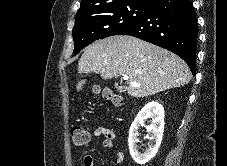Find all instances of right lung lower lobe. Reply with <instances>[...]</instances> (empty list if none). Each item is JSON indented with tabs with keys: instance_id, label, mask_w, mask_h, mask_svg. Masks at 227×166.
I'll list each match as a JSON object with an SVG mask.
<instances>
[{
	"instance_id": "1",
	"label": "right lung lower lobe",
	"mask_w": 227,
	"mask_h": 166,
	"mask_svg": "<svg viewBox=\"0 0 227 166\" xmlns=\"http://www.w3.org/2000/svg\"><path fill=\"white\" fill-rule=\"evenodd\" d=\"M117 35H131L177 54L195 75L198 24L190 0H156Z\"/></svg>"
}]
</instances>
